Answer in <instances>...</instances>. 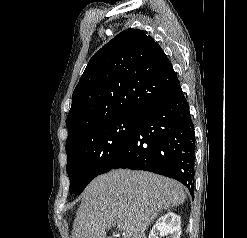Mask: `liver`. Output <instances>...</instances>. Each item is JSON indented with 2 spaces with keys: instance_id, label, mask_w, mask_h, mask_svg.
Listing matches in <instances>:
<instances>
[{
  "instance_id": "1",
  "label": "liver",
  "mask_w": 247,
  "mask_h": 238,
  "mask_svg": "<svg viewBox=\"0 0 247 238\" xmlns=\"http://www.w3.org/2000/svg\"><path fill=\"white\" fill-rule=\"evenodd\" d=\"M185 199L184 189L173 179L146 171L112 170L84 190L72 238H106L115 225L121 226L122 238H145L160 211Z\"/></svg>"
}]
</instances>
